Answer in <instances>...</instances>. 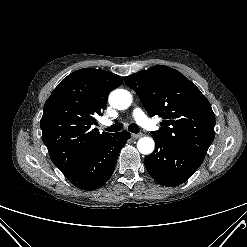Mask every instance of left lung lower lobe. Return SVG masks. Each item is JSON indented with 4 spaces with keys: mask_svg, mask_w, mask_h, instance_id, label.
Returning a JSON list of instances; mask_svg holds the SVG:
<instances>
[{
    "mask_svg": "<svg viewBox=\"0 0 247 247\" xmlns=\"http://www.w3.org/2000/svg\"><path fill=\"white\" fill-rule=\"evenodd\" d=\"M153 139L155 150L145 158V167L151 177L163 186L174 187L186 182L204 160L199 154Z\"/></svg>",
    "mask_w": 247,
    "mask_h": 247,
    "instance_id": "left-lung-lower-lobe-1",
    "label": "left lung lower lobe"
}]
</instances>
